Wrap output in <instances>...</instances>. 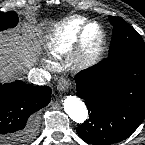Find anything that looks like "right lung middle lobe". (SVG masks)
<instances>
[{"label": "right lung middle lobe", "mask_w": 145, "mask_h": 145, "mask_svg": "<svg viewBox=\"0 0 145 145\" xmlns=\"http://www.w3.org/2000/svg\"><path fill=\"white\" fill-rule=\"evenodd\" d=\"M18 23V16L14 11L0 12V31L13 28Z\"/></svg>", "instance_id": "1"}]
</instances>
